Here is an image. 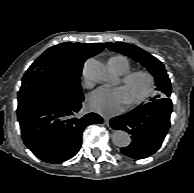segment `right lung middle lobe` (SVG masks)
Here are the masks:
<instances>
[{"label":"right lung middle lobe","instance_id":"right-lung-middle-lobe-1","mask_svg":"<svg viewBox=\"0 0 194 193\" xmlns=\"http://www.w3.org/2000/svg\"><path fill=\"white\" fill-rule=\"evenodd\" d=\"M81 72L54 75L25 73L18 94V105L33 103H73L83 98Z\"/></svg>","mask_w":194,"mask_h":193}]
</instances>
